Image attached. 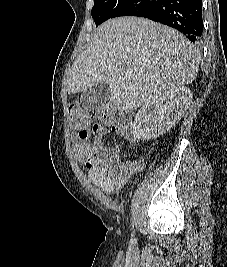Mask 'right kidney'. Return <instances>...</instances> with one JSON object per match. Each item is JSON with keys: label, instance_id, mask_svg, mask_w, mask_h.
<instances>
[{"label": "right kidney", "instance_id": "1", "mask_svg": "<svg viewBox=\"0 0 227 267\" xmlns=\"http://www.w3.org/2000/svg\"><path fill=\"white\" fill-rule=\"evenodd\" d=\"M191 101V90L178 86L146 102L135 116L134 138L150 140L165 134L182 118Z\"/></svg>", "mask_w": 227, "mask_h": 267}]
</instances>
